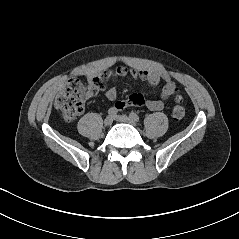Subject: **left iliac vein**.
<instances>
[{"label": "left iliac vein", "instance_id": "left-iliac-vein-1", "mask_svg": "<svg viewBox=\"0 0 239 239\" xmlns=\"http://www.w3.org/2000/svg\"><path fill=\"white\" fill-rule=\"evenodd\" d=\"M114 119L117 120L118 122L127 123L130 125L136 126V122L125 115H117L114 117Z\"/></svg>", "mask_w": 239, "mask_h": 239}]
</instances>
